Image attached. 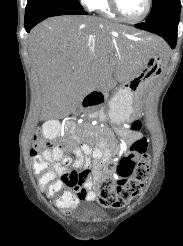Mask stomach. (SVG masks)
<instances>
[{
	"label": "stomach",
	"instance_id": "1",
	"mask_svg": "<svg viewBox=\"0 0 183 246\" xmlns=\"http://www.w3.org/2000/svg\"><path fill=\"white\" fill-rule=\"evenodd\" d=\"M145 57L143 69L120 87L108 101V112L100 113L101 119L108 117L111 123L120 125L138 115L141 109V98L147 85L161 71V60L151 42H129Z\"/></svg>",
	"mask_w": 183,
	"mask_h": 246
}]
</instances>
